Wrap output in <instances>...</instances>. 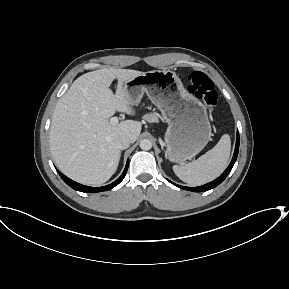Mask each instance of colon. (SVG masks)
Wrapping results in <instances>:
<instances>
[{"label": "colon", "mask_w": 289, "mask_h": 289, "mask_svg": "<svg viewBox=\"0 0 289 289\" xmlns=\"http://www.w3.org/2000/svg\"><path fill=\"white\" fill-rule=\"evenodd\" d=\"M187 90L199 99H202L209 111L217 105L218 95L214 84L209 77L200 71L192 72L188 76Z\"/></svg>", "instance_id": "colon-1"}]
</instances>
